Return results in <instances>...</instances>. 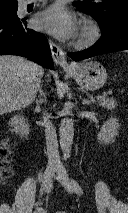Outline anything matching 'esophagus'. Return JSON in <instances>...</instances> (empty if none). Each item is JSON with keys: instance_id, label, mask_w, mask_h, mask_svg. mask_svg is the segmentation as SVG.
Returning <instances> with one entry per match:
<instances>
[{"instance_id": "obj_1", "label": "esophagus", "mask_w": 128, "mask_h": 213, "mask_svg": "<svg viewBox=\"0 0 128 213\" xmlns=\"http://www.w3.org/2000/svg\"><path fill=\"white\" fill-rule=\"evenodd\" d=\"M49 45L52 53V58L56 65L62 67L65 70L71 69L72 65H70L67 60L64 51L58 46L54 41L49 40Z\"/></svg>"}]
</instances>
